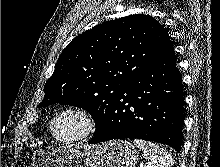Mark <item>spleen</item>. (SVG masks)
<instances>
[{"mask_svg":"<svg viewBox=\"0 0 220 167\" xmlns=\"http://www.w3.org/2000/svg\"><path fill=\"white\" fill-rule=\"evenodd\" d=\"M134 144L144 150L145 167H172L174 164L171 154L163 147L154 143L135 139Z\"/></svg>","mask_w":220,"mask_h":167,"instance_id":"3e777b00","label":"spleen"}]
</instances>
